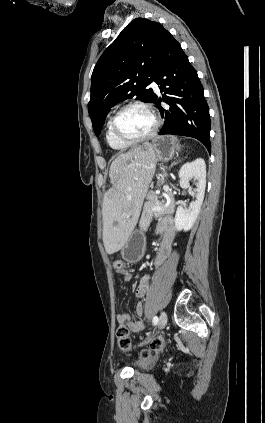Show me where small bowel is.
<instances>
[{"label":"small bowel","instance_id":"obj_1","mask_svg":"<svg viewBox=\"0 0 265 423\" xmlns=\"http://www.w3.org/2000/svg\"><path fill=\"white\" fill-rule=\"evenodd\" d=\"M157 231L162 235V240L154 264L155 266H160L170 256L175 244L176 228L173 219L171 217L163 218L157 225ZM118 273L123 276L126 283L130 281L131 273L125 267L123 270L118 271ZM149 283L150 278L148 276H142L139 279L135 291L136 297L143 298L146 295ZM143 311L144 308L142 303H138L135 309L136 315L140 317ZM117 321L118 323H126L133 332H140L144 328V324L139 318H131L125 313L117 314Z\"/></svg>","mask_w":265,"mask_h":423}]
</instances>
